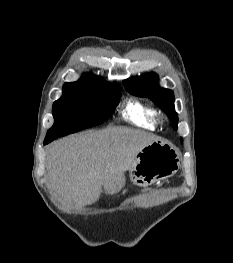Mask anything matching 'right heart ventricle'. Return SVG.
Instances as JSON below:
<instances>
[{
	"mask_svg": "<svg viewBox=\"0 0 233 263\" xmlns=\"http://www.w3.org/2000/svg\"><path fill=\"white\" fill-rule=\"evenodd\" d=\"M121 114L125 120L144 129L155 130L159 124L156 109L138 99H128Z\"/></svg>",
	"mask_w": 233,
	"mask_h": 263,
	"instance_id": "e07e8e85",
	"label": "right heart ventricle"
}]
</instances>
